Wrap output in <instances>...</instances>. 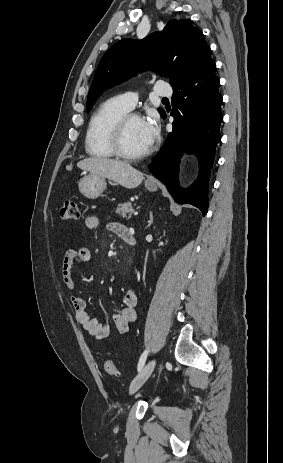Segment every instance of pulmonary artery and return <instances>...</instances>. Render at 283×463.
<instances>
[{"label":"pulmonary artery","mask_w":283,"mask_h":463,"mask_svg":"<svg viewBox=\"0 0 283 463\" xmlns=\"http://www.w3.org/2000/svg\"><path fill=\"white\" fill-rule=\"evenodd\" d=\"M153 92L161 98H168L172 95L171 87L164 82H157L153 87ZM119 98L127 109L132 110L137 103L138 94L130 91L119 95Z\"/></svg>","instance_id":"pulmonary-artery-1"}]
</instances>
